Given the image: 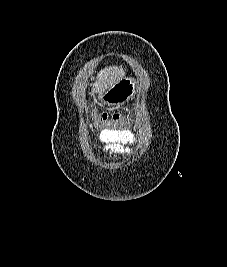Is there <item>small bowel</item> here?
Returning <instances> with one entry per match:
<instances>
[{"label":"small bowel","instance_id":"c3829d8e","mask_svg":"<svg viewBox=\"0 0 227 267\" xmlns=\"http://www.w3.org/2000/svg\"><path fill=\"white\" fill-rule=\"evenodd\" d=\"M99 140L107 151L119 154L130 152V146L135 145L136 136L129 130H101Z\"/></svg>","mask_w":227,"mask_h":267}]
</instances>
